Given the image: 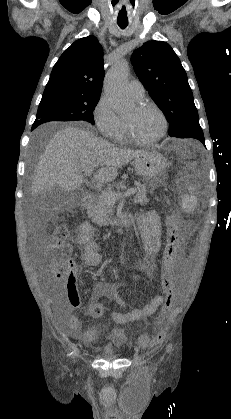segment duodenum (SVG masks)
<instances>
[{"instance_id": "410a0bca", "label": "duodenum", "mask_w": 231, "mask_h": 419, "mask_svg": "<svg viewBox=\"0 0 231 419\" xmlns=\"http://www.w3.org/2000/svg\"><path fill=\"white\" fill-rule=\"evenodd\" d=\"M83 204L86 208H91L94 204V197L92 194L87 193L84 197V201ZM134 222V219L128 215V214H124L121 215L119 217H117V219L114 222V229H118L121 227H128L130 225H132Z\"/></svg>"}]
</instances>
